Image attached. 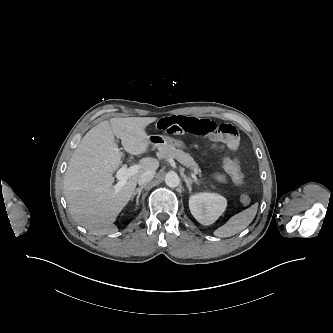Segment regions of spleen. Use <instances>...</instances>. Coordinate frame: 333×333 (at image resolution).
<instances>
[{"label": "spleen", "mask_w": 333, "mask_h": 333, "mask_svg": "<svg viewBox=\"0 0 333 333\" xmlns=\"http://www.w3.org/2000/svg\"><path fill=\"white\" fill-rule=\"evenodd\" d=\"M258 203L232 216L224 225L214 231L217 237L225 238L243 231L255 218Z\"/></svg>", "instance_id": "spleen-1"}]
</instances>
